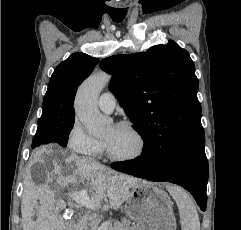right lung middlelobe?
<instances>
[{"instance_id": "obj_1", "label": "right lung middle lobe", "mask_w": 241, "mask_h": 230, "mask_svg": "<svg viewBox=\"0 0 241 230\" xmlns=\"http://www.w3.org/2000/svg\"><path fill=\"white\" fill-rule=\"evenodd\" d=\"M74 122L75 118L73 117L59 120L50 115H42L38 120V128L33 138L32 148L52 142L66 146Z\"/></svg>"}]
</instances>
